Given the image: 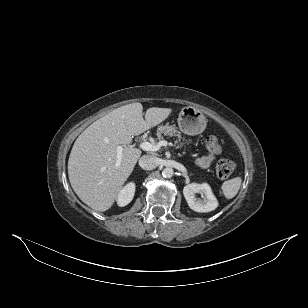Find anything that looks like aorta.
<instances>
[{
	"label": "aorta",
	"instance_id": "obj_1",
	"mask_svg": "<svg viewBox=\"0 0 308 308\" xmlns=\"http://www.w3.org/2000/svg\"><path fill=\"white\" fill-rule=\"evenodd\" d=\"M173 174H174V171H173V169L170 168V167H166V168H164L163 171H162V176H163L164 178H171V177L173 176Z\"/></svg>",
	"mask_w": 308,
	"mask_h": 308
}]
</instances>
